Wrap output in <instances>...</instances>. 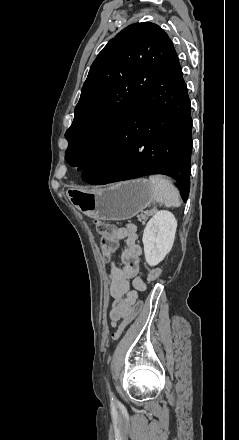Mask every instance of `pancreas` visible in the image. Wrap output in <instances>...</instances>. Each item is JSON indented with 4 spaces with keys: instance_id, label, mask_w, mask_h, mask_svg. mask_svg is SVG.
Here are the masks:
<instances>
[{
    "instance_id": "pancreas-1",
    "label": "pancreas",
    "mask_w": 239,
    "mask_h": 440,
    "mask_svg": "<svg viewBox=\"0 0 239 440\" xmlns=\"http://www.w3.org/2000/svg\"><path fill=\"white\" fill-rule=\"evenodd\" d=\"M153 214H155V210H146L144 214H140V216H137L138 222H142L143 220V224H145V222H147V218H149V216H153Z\"/></svg>"
}]
</instances>
